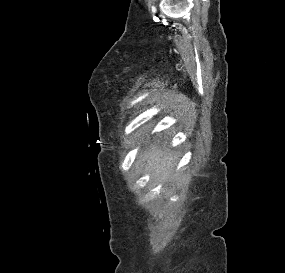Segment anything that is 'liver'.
<instances>
[{"mask_svg": "<svg viewBox=\"0 0 285 273\" xmlns=\"http://www.w3.org/2000/svg\"><path fill=\"white\" fill-rule=\"evenodd\" d=\"M147 169L161 180H165L173 169V157L168 152L153 148L146 156Z\"/></svg>", "mask_w": 285, "mask_h": 273, "instance_id": "obj_1", "label": "liver"}]
</instances>
